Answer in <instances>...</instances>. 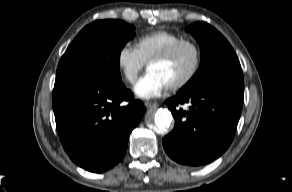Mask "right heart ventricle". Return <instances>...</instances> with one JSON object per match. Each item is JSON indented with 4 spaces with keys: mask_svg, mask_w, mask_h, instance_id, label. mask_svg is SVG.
<instances>
[{
    "mask_svg": "<svg viewBox=\"0 0 292 192\" xmlns=\"http://www.w3.org/2000/svg\"><path fill=\"white\" fill-rule=\"evenodd\" d=\"M181 39L183 37L178 33L168 30H156L138 38L136 49L146 63Z\"/></svg>",
    "mask_w": 292,
    "mask_h": 192,
    "instance_id": "1",
    "label": "right heart ventricle"
}]
</instances>
